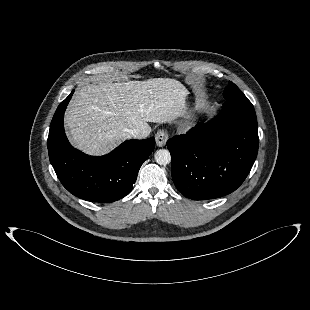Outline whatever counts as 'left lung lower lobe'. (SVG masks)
Instances as JSON below:
<instances>
[{
	"mask_svg": "<svg viewBox=\"0 0 310 310\" xmlns=\"http://www.w3.org/2000/svg\"><path fill=\"white\" fill-rule=\"evenodd\" d=\"M254 107L246 98L227 100L209 123L167 141L176 188L193 200L235 191L249 174L258 152Z\"/></svg>",
	"mask_w": 310,
	"mask_h": 310,
	"instance_id": "obj_1",
	"label": "left lung lower lobe"
}]
</instances>
